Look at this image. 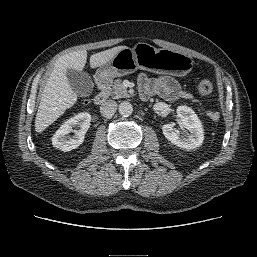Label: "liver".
Wrapping results in <instances>:
<instances>
[{
	"instance_id": "obj_1",
	"label": "liver",
	"mask_w": 257,
	"mask_h": 257,
	"mask_svg": "<svg viewBox=\"0 0 257 257\" xmlns=\"http://www.w3.org/2000/svg\"><path fill=\"white\" fill-rule=\"evenodd\" d=\"M126 46L111 49L90 56V67L103 66L111 61ZM87 62L86 50L72 52L57 59L53 71L43 89L35 119V131L43 132L77 101V94L71 88L66 72L68 69L82 71Z\"/></svg>"
}]
</instances>
